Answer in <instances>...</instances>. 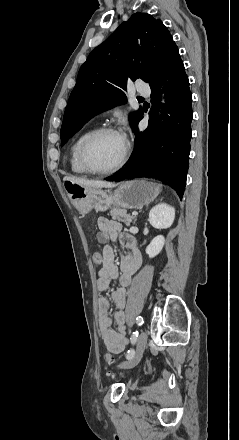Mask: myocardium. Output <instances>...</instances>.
<instances>
[{"label": "myocardium", "instance_id": "obj_1", "mask_svg": "<svg viewBox=\"0 0 239 440\" xmlns=\"http://www.w3.org/2000/svg\"><path fill=\"white\" fill-rule=\"evenodd\" d=\"M110 133H120L116 128L112 126H103L99 127L95 130H93L82 142L80 148H79V161L83 169L92 175H98V176H104V175H111L114 173H117L120 171L126 162L129 159L130 153H131V146L128 141H126L125 150L124 153L119 161V163L111 169L108 170H99L94 168L89 160H88V149L90 145L100 136L104 134H110ZM121 134V133H120Z\"/></svg>", "mask_w": 239, "mask_h": 440}]
</instances>
